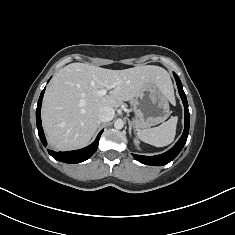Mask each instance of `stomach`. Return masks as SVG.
<instances>
[{
  "instance_id": "1",
  "label": "stomach",
  "mask_w": 235,
  "mask_h": 235,
  "mask_svg": "<svg viewBox=\"0 0 235 235\" xmlns=\"http://www.w3.org/2000/svg\"><path fill=\"white\" fill-rule=\"evenodd\" d=\"M136 129H145L165 121L170 115L169 99L156 83L149 84L132 101Z\"/></svg>"
}]
</instances>
